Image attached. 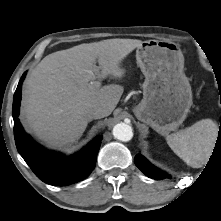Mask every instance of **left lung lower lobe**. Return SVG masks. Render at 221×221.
Returning <instances> with one entry per match:
<instances>
[{
  "label": "left lung lower lobe",
  "mask_w": 221,
  "mask_h": 221,
  "mask_svg": "<svg viewBox=\"0 0 221 221\" xmlns=\"http://www.w3.org/2000/svg\"><path fill=\"white\" fill-rule=\"evenodd\" d=\"M217 143L221 145V135H218ZM136 166L148 177L156 180L170 178V176L159 168L148 162L141 154H137L134 158Z\"/></svg>",
  "instance_id": "1"
}]
</instances>
